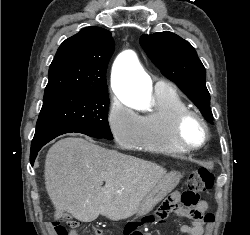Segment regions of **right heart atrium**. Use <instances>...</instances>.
Listing matches in <instances>:
<instances>
[{
  "mask_svg": "<svg viewBox=\"0 0 250 235\" xmlns=\"http://www.w3.org/2000/svg\"><path fill=\"white\" fill-rule=\"evenodd\" d=\"M107 123L119 145L127 148L136 146L140 138V116L115 97L109 104Z\"/></svg>",
  "mask_w": 250,
  "mask_h": 235,
  "instance_id": "obj_1",
  "label": "right heart atrium"
}]
</instances>
